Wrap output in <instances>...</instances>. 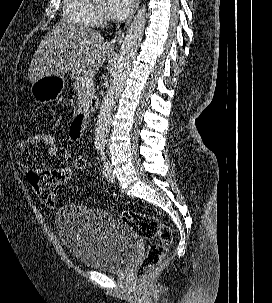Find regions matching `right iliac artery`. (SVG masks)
I'll use <instances>...</instances> for the list:
<instances>
[{
  "instance_id": "obj_1",
  "label": "right iliac artery",
  "mask_w": 272,
  "mask_h": 303,
  "mask_svg": "<svg viewBox=\"0 0 272 303\" xmlns=\"http://www.w3.org/2000/svg\"><path fill=\"white\" fill-rule=\"evenodd\" d=\"M101 147L102 146L100 144H96V146H95V148H96L97 151H99L101 149Z\"/></svg>"
}]
</instances>
